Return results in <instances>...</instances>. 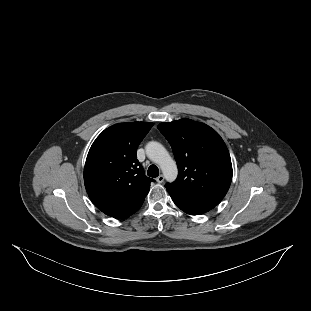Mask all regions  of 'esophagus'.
I'll list each match as a JSON object with an SVG mask.
<instances>
[{"mask_svg": "<svg viewBox=\"0 0 311 311\" xmlns=\"http://www.w3.org/2000/svg\"><path fill=\"white\" fill-rule=\"evenodd\" d=\"M156 181L158 183H162L164 181V176L163 175H159L157 178H156Z\"/></svg>", "mask_w": 311, "mask_h": 311, "instance_id": "34e87169", "label": "esophagus"}]
</instances>
